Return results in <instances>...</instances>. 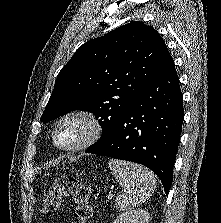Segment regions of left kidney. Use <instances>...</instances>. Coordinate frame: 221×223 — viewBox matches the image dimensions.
<instances>
[{
  "mask_svg": "<svg viewBox=\"0 0 221 223\" xmlns=\"http://www.w3.org/2000/svg\"><path fill=\"white\" fill-rule=\"evenodd\" d=\"M150 214L146 210H133L119 215L113 223H149Z\"/></svg>",
  "mask_w": 221,
  "mask_h": 223,
  "instance_id": "1",
  "label": "left kidney"
}]
</instances>
